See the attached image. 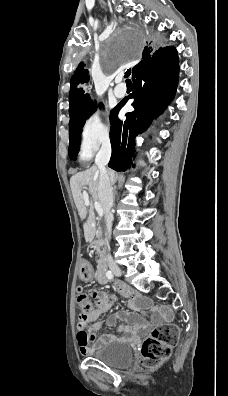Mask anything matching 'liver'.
<instances>
[{
    "instance_id": "1",
    "label": "liver",
    "mask_w": 228,
    "mask_h": 396,
    "mask_svg": "<svg viewBox=\"0 0 228 396\" xmlns=\"http://www.w3.org/2000/svg\"><path fill=\"white\" fill-rule=\"evenodd\" d=\"M111 183H115V173L112 170L107 171ZM99 176L100 172L97 166H91L85 171L78 172L77 174L73 175L70 178V186L72 190V195L73 199L75 202V205L77 207L79 216L82 220H84L87 216V208L90 206V215L87 221V224H85V231H86V240L90 241L93 238L94 235V219H93V212H92V206L94 201H99L100 205L101 200H100V195L98 191V186H99ZM88 188V191L90 193V201H86L84 199V196L82 194V190L84 188Z\"/></svg>"
}]
</instances>
